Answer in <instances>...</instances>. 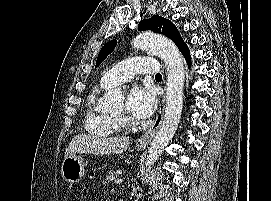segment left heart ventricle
<instances>
[{
  "label": "left heart ventricle",
  "instance_id": "obj_1",
  "mask_svg": "<svg viewBox=\"0 0 271 201\" xmlns=\"http://www.w3.org/2000/svg\"><path fill=\"white\" fill-rule=\"evenodd\" d=\"M124 111V104H121L119 112L122 113Z\"/></svg>",
  "mask_w": 271,
  "mask_h": 201
}]
</instances>
